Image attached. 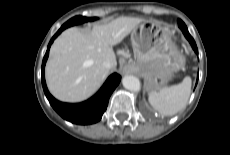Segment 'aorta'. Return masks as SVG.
Returning a JSON list of instances; mask_svg holds the SVG:
<instances>
[{"mask_svg": "<svg viewBox=\"0 0 230 155\" xmlns=\"http://www.w3.org/2000/svg\"><path fill=\"white\" fill-rule=\"evenodd\" d=\"M124 88L133 92H139L141 89L140 80L133 75H126L122 79Z\"/></svg>", "mask_w": 230, "mask_h": 155, "instance_id": "1", "label": "aorta"}]
</instances>
